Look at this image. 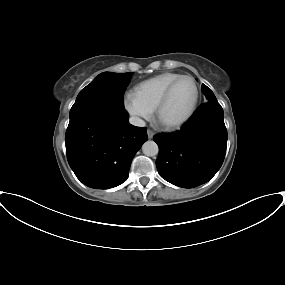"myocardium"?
Segmentation results:
<instances>
[{
  "label": "myocardium",
  "instance_id": "myocardium-1",
  "mask_svg": "<svg viewBox=\"0 0 285 285\" xmlns=\"http://www.w3.org/2000/svg\"><path fill=\"white\" fill-rule=\"evenodd\" d=\"M182 79H190L193 82V84H194V87H195V98H194L193 104H192L190 110L188 111V113L184 117L179 119L178 121L171 122V123L162 122V120H161V112H162L163 108L165 107V105L167 104L174 87ZM199 100H200V88H199V85H198V82L196 81V79L193 76H191V75H180L179 77H177L175 80H173L168 85V87L165 89L164 93L162 94L161 98L159 99V101H158V103H157V105L155 107L156 122L163 129L168 130V131L176 130V129L181 128L195 114V112H196V110L198 108Z\"/></svg>",
  "mask_w": 285,
  "mask_h": 285
}]
</instances>
